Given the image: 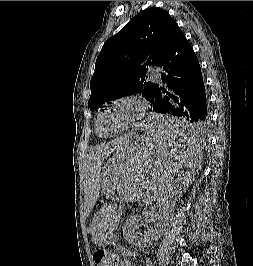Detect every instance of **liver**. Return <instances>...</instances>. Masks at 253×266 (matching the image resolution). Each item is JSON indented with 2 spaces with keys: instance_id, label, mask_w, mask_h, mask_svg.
Returning <instances> with one entry per match:
<instances>
[{
  "instance_id": "obj_1",
  "label": "liver",
  "mask_w": 253,
  "mask_h": 266,
  "mask_svg": "<svg viewBox=\"0 0 253 266\" xmlns=\"http://www.w3.org/2000/svg\"><path fill=\"white\" fill-rule=\"evenodd\" d=\"M129 142L128 137L117 139L109 143L100 145L94 148L86 158L85 169L86 177L94 178L95 175L99 174L102 161L110 155L117 154L122 147ZM99 179V177H96ZM135 200V199H132ZM92 229V226H91ZM92 233V232H91ZM94 240V235H92ZM95 242V240H94ZM97 243V242H96Z\"/></svg>"
}]
</instances>
